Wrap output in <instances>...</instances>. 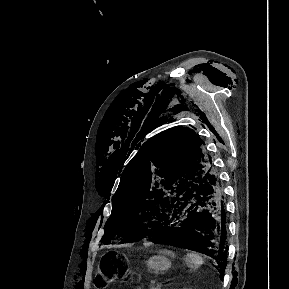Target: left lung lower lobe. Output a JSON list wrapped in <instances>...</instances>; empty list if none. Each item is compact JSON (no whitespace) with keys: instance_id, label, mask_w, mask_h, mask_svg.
Here are the masks:
<instances>
[{"instance_id":"left-lung-lower-lobe-1","label":"left lung lower lobe","mask_w":289,"mask_h":289,"mask_svg":"<svg viewBox=\"0 0 289 289\" xmlns=\"http://www.w3.org/2000/svg\"><path fill=\"white\" fill-rule=\"evenodd\" d=\"M226 223L223 188L212 165L172 199L168 216L147 233L155 243L182 240L183 248L214 258L220 275L226 266Z\"/></svg>"}]
</instances>
